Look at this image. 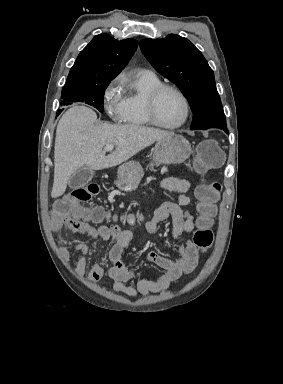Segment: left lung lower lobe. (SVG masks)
Instances as JSON below:
<instances>
[{
  "instance_id": "1",
  "label": "left lung lower lobe",
  "mask_w": 283,
  "mask_h": 384,
  "mask_svg": "<svg viewBox=\"0 0 283 384\" xmlns=\"http://www.w3.org/2000/svg\"><path fill=\"white\" fill-rule=\"evenodd\" d=\"M221 129L224 130L226 133H228V130L226 129V126L222 127Z\"/></svg>"
}]
</instances>
